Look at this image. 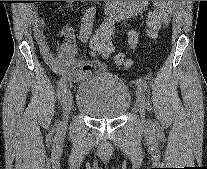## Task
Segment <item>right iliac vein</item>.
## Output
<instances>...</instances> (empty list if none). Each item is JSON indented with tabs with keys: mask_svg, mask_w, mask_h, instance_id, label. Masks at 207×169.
I'll return each mask as SVG.
<instances>
[{
	"mask_svg": "<svg viewBox=\"0 0 207 169\" xmlns=\"http://www.w3.org/2000/svg\"><path fill=\"white\" fill-rule=\"evenodd\" d=\"M72 108V93L69 89L63 94V119L61 121V128H65L68 122V116Z\"/></svg>",
	"mask_w": 207,
	"mask_h": 169,
	"instance_id": "63e3f726",
	"label": "right iliac vein"
}]
</instances>
